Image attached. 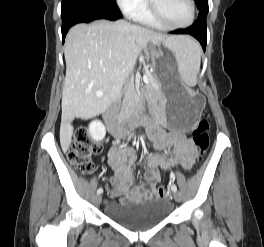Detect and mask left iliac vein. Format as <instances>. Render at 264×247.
I'll list each match as a JSON object with an SVG mask.
<instances>
[{
	"instance_id": "4c4485c4",
	"label": "left iliac vein",
	"mask_w": 264,
	"mask_h": 247,
	"mask_svg": "<svg viewBox=\"0 0 264 247\" xmlns=\"http://www.w3.org/2000/svg\"><path fill=\"white\" fill-rule=\"evenodd\" d=\"M174 199L178 202H180L182 200V195L180 192L176 191L173 193Z\"/></svg>"
}]
</instances>
